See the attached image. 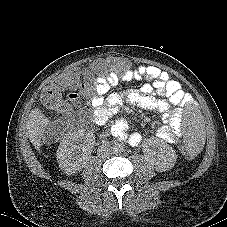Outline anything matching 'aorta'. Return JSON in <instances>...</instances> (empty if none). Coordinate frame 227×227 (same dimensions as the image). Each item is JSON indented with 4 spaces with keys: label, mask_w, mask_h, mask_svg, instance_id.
<instances>
[{
    "label": "aorta",
    "mask_w": 227,
    "mask_h": 227,
    "mask_svg": "<svg viewBox=\"0 0 227 227\" xmlns=\"http://www.w3.org/2000/svg\"><path fill=\"white\" fill-rule=\"evenodd\" d=\"M122 150V147L119 145V144H116L115 147H114V151L116 153L120 152Z\"/></svg>",
    "instance_id": "aorta-1"
}]
</instances>
